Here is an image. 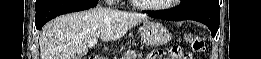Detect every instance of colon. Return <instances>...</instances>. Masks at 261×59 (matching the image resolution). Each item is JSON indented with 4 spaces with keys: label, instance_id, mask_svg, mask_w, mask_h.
<instances>
[{
    "label": "colon",
    "instance_id": "1",
    "mask_svg": "<svg viewBox=\"0 0 261 59\" xmlns=\"http://www.w3.org/2000/svg\"><path fill=\"white\" fill-rule=\"evenodd\" d=\"M188 41L191 44L193 50L196 53H202L205 50V42L204 40L199 37V36H195V35H190L188 36ZM169 58H175V59H187V58H192V56H184L182 53V48L180 46H172L169 51ZM164 52L163 53H159V55L164 57Z\"/></svg>",
    "mask_w": 261,
    "mask_h": 59
}]
</instances>
